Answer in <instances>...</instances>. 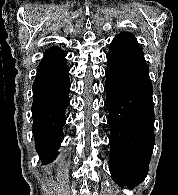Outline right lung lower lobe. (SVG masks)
<instances>
[{
	"label": "right lung lower lobe",
	"instance_id": "obj_1",
	"mask_svg": "<svg viewBox=\"0 0 178 195\" xmlns=\"http://www.w3.org/2000/svg\"><path fill=\"white\" fill-rule=\"evenodd\" d=\"M69 67L66 61L37 68L33 83V136L43 164L53 161L63 140L65 109L69 105Z\"/></svg>",
	"mask_w": 178,
	"mask_h": 195
}]
</instances>
